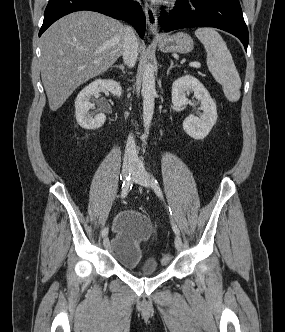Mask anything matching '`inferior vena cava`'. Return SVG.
<instances>
[{"mask_svg":"<svg viewBox=\"0 0 285 332\" xmlns=\"http://www.w3.org/2000/svg\"><path fill=\"white\" fill-rule=\"evenodd\" d=\"M122 55L126 65L129 67H133L135 65L138 56V41L134 29L130 26H125ZM137 161L138 153L135 141L133 136L129 135L125 148L124 163H135Z\"/></svg>","mask_w":285,"mask_h":332,"instance_id":"inferior-vena-cava-1","label":"inferior vena cava"}]
</instances>
